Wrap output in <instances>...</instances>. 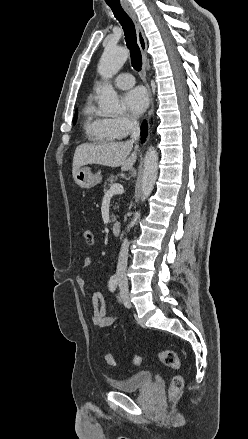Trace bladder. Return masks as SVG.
I'll return each instance as SVG.
<instances>
[{
	"instance_id": "obj_1",
	"label": "bladder",
	"mask_w": 248,
	"mask_h": 439,
	"mask_svg": "<svg viewBox=\"0 0 248 439\" xmlns=\"http://www.w3.org/2000/svg\"><path fill=\"white\" fill-rule=\"evenodd\" d=\"M153 378L149 371L133 373L123 379L112 380L111 386L120 392H135L139 389L152 385Z\"/></svg>"
}]
</instances>
